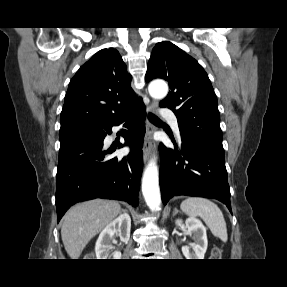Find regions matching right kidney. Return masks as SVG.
<instances>
[{
  "label": "right kidney",
  "instance_id": "obj_1",
  "mask_svg": "<svg viewBox=\"0 0 287 287\" xmlns=\"http://www.w3.org/2000/svg\"><path fill=\"white\" fill-rule=\"evenodd\" d=\"M131 218L129 214L123 213L110 222L100 233L96 245L95 253L97 259H121L120 251L111 252L112 238L115 234L120 236L122 242H128L130 238Z\"/></svg>",
  "mask_w": 287,
  "mask_h": 287
}]
</instances>
